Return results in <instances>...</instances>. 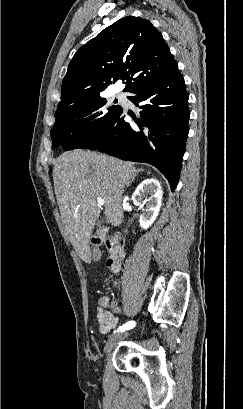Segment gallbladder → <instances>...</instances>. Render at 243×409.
I'll return each mask as SVG.
<instances>
[{
	"label": "gallbladder",
	"mask_w": 243,
	"mask_h": 409,
	"mask_svg": "<svg viewBox=\"0 0 243 409\" xmlns=\"http://www.w3.org/2000/svg\"><path fill=\"white\" fill-rule=\"evenodd\" d=\"M100 254H101V253H100L99 249H98V248H94V250H93V255H94V258H95L96 260L99 259Z\"/></svg>",
	"instance_id": "1"
}]
</instances>
